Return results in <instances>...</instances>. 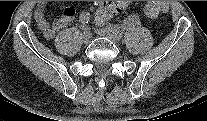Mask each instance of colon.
I'll use <instances>...</instances> for the list:
<instances>
[{"label": "colon", "mask_w": 207, "mask_h": 121, "mask_svg": "<svg viewBox=\"0 0 207 121\" xmlns=\"http://www.w3.org/2000/svg\"><path fill=\"white\" fill-rule=\"evenodd\" d=\"M116 7L111 4H102L95 13L97 23L102 24L108 21L115 14ZM168 10L166 3L161 1H149L144 7V12L149 17H157Z\"/></svg>", "instance_id": "1"}]
</instances>
